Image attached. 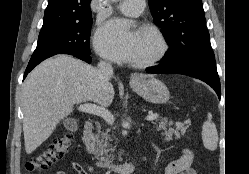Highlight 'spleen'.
<instances>
[{"label":"spleen","instance_id":"spleen-1","mask_svg":"<svg viewBox=\"0 0 249 174\" xmlns=\"http://www.w3.org/2000/svg\"><path fill=\"white\" fill-rule=\"evenodd\" d=\"M202 140L206 149L214 151L218 144V133L215 124L212 122V115L208 113L207 120L202 125Z\"/></svg>","mask_w":249,"mask_h":174}]
</instances>
